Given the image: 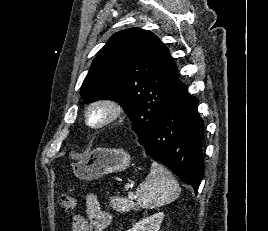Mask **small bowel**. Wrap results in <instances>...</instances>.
Returning a JSON list of instances; mask_svg holds the SVG:
<instances>
[{"label": "small bowel", "mask_w": 268, "mask_h": 231, "mask_svg": "<svg viewBox=\"0 0 268 231\" xmlns=\"http://www.w3.org/2000/svg\"><path fill=\"white\" fill-rule=\"evenodd\" d=\"M85 207V216L75 215L73 217L72 231H104L110 225L112 215L101 205L95 194H86Z\"/></svg>", "instance_id": "small-bowel-1"}]
</instances>
